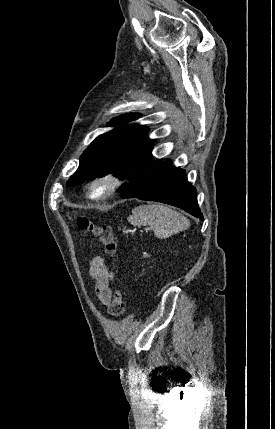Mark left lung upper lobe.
<instances>
[{"label":"left lung upper lobe","mask_w":275,"mask_h":429,"mask_svg":"<svg viewBox=\"0 0 275 429\" xmlns=\"http://www.w3.org/2000/svg\"><path fill=\"white\" fill-rule=\"evenodd\" d=\"M137 113H129L111 120L116 129L98 136L80 157V165L66 186L114 173L127 179L120 192L127 191L139 175L153 162V143L146 137L148 129L138 124H123L136 120Z\"/></svg>","instance_id":"obj_1"}]
</instances>
